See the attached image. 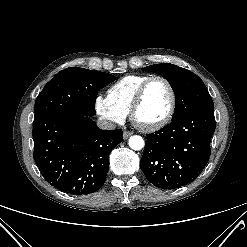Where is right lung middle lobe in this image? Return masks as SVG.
I'll use <instances>...</instances> for the list:
<instances>
[{
    "instance_id": "1",
    "label": "right lung middle lobe",
    "mask_w": 247,
    "mask_h": 247,
    "mask_svg": "<svg viewBox=\"0 0 247 247\" xmlns=\"http://www.w3.org/2000/svg\"><path fill=\"white\" fill-rule=\"evenodd\" d=\"M116 79L100 71L78 67L64 69L38 95L34 120L56 112L92 117L95 115L94 103L98 90Z\"/></svg>"
}]
</instances>
